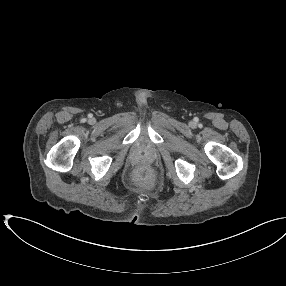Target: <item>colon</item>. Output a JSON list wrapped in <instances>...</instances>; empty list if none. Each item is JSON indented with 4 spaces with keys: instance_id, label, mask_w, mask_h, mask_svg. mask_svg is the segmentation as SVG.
Here are the masks:
<instances>
[{
    "instance_id": "5ec220e1",
    "label": "colon",
    "mask_w": 286,
    "mask_h": 286,
    "mask_svg": "<svg viewBox=\"0 0 286 286\" xmlns=\"http://www.w3.org/2000/svg\"><path fill=\"white\" fill-rule=\"evenodd\" d=\"M139 176H140V178H143L145 176V171H140Z\"/></svg>"
}]
</instances>
